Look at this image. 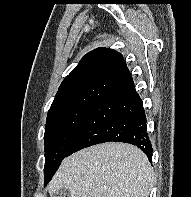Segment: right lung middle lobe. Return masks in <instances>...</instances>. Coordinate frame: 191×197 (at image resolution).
<instances>
[{
  "label": "right lung middle lobe",
  "instance_id": "1",
  "mask_svg": "<svg viewBox=\"0 0 191 197\" xmlns=\"http://www.w3.org/2000/svg\"><path fill=\"white\" fill-rule=\"evenodd\" d=\"M94 105L67 109L47 117L44 135L45 185L51 180L70 150Z\"/></svg>",
  "mask_w": 191,
  "mask_h": 197
}]
</instances>
